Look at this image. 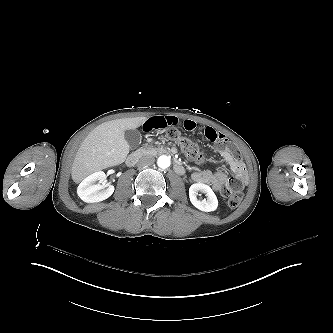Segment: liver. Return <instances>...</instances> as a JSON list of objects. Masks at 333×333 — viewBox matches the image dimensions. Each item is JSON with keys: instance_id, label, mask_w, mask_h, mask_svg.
<instances>
[{"instance_id": "6515ba94", "label": "liver", "mask_w": 333, "mask_h": 333, "mask_svg": "<svg viewBox=\"0 0 333 333\" xmlns=\"http://www.w3.org/2000/svg\"><path fill=\"white\" fill-rule=\"evenodd\" d=\"M147 117L123 118L104 122L84 139L75 156L71 176L80 183L93 172L123 163L129 153L126 130L141 126Z\"/></svg>"}]
</instances>
